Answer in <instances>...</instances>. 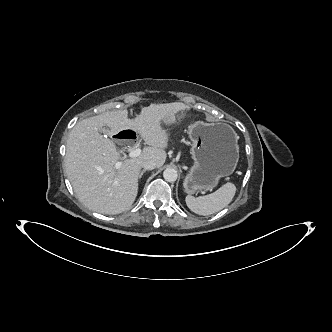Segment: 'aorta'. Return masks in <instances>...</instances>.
<instances>
[{
	"label": "aorta",
	"mask_w": 332,
	"mask_h": 332,
	"mask_svg": "<svg viewBox=\"0 0 332 332\" xmlns=\"http://www.w3.org/2000/svg\"><path fill=\"white\" fill-rule=\"evenodd\" d=\"M178 173L176 169L167 168L163 172V178L167 182H175L177 180Z\"/></svg>",
	"instance_id": "obj_1"
}]
</instances>
